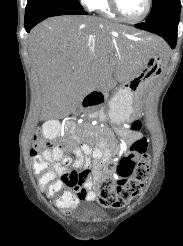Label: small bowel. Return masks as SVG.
Masks as SVG:
<instances>
[{
  "label": "small bowel",
  "mask_w": 183,
  "mask_h": 246,
  "mask_svg": "<svg viewBox=\"0 0 183 246\" xmlns=\"http://www.w3.org/2000/svg\"><path fill=\"white\" fill-rule=\"evenodd\" d=\"M124 144L131 147L132 144L141 138L137 130L117 129ZM76 139L90 140L95 146L91 147L87 143L74 146L72 152L77 159L71 164L70 155L64 152V145H57L52 150L45 151L43 157L52 164V173L59 178H78L69 185L62 183L60 179L54 182V188L50 187L47 193L50 195L60 193L58 205L64 211H71L80 201H94L96 193L93 184L101 178V169L112 156L115 141L110 130L97 128L92 131H83ZM89 158L93 159L91 164ZM77 173H67V172ZM82 171V173H80ZM44 189L45 181L40 180Z\"/></svg>",
  "instance_id": "1"
}]
</instances>
